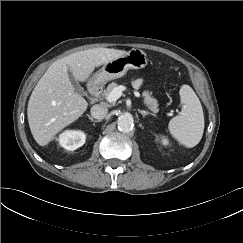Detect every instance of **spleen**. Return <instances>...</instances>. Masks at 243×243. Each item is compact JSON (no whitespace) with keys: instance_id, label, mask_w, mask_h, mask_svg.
<instances>
[{"instance_id":"1","label":"spleen","mask_w":243,"mask_h":243,"mask_svg":"<svg viewBox=\"0 0 243 243\" xmlns=\"http://www.w3.org/2000/svg\"><path fill=\"white\" fill-rule=\"evenodd\" d=\"M182 110L173 117L168 129L173 138L187 148L196 146L204 132V114L201 102L189 85H183L179 91Z\"/></svg>"}]
</instances>
